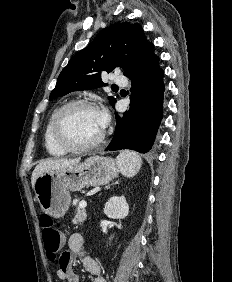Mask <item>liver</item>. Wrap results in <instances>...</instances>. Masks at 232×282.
<instances>
[{"label":"liver","instance_id":"6515ba94","mask_svg":"<svg viewBox=\"0 0 232 282\" xmlns=\"http://www.w3.org/2000/svg\"><path fill=\"white\" fill-rule=\"evenodd\" d=\"M80 163V159H48L43 160L39 162V164L35 167L32 177H31V184L34 188L35 181L38 178L39 175H41L44 172L51 171V170H57V169H63L68 167H73Z\"/></svg>","mask_w":232,"mask_h":282}]
</instances>
